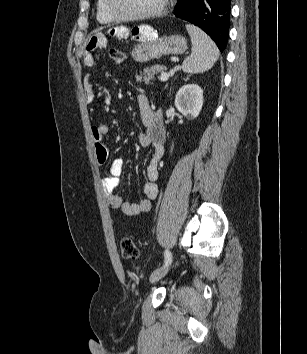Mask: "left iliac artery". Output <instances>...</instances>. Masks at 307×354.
I'll return each mask as SVG.
<instances>
[{"label":"left iliac artery","instance_id":"obj_1","mask_svg":"<svg viewBox=\"0 0 307 354\" xmlns=\"http://www.w3.org/2000/svg\"><path fill=\"white\" fill-rule=\"evenodd\" d=\"M164 258L165 259H164V266L163 267H166L172 261V255H171V252L168 249H166L165 252H164Z\"/></svg>","mask_w":307,"mask_h":354}]
</instances>
